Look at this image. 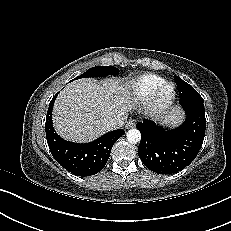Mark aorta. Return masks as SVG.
I'll return each mask as SVG.
<instances>
[{"label":"aorta","instance_id":"762f6f07","mask_svg":"<svg viewBox=\"0 0 231 231\" xmlns=\"http://www.w3.org/2000/svg\"><path fill=\"white\" fill-rule=\"evenodd\" d=\"M126 138L129 143L136 144L141 140V133L138 129H130L126 134Z\"/></svg>","mask_w":231,"mask_h":231}]
</instances>
